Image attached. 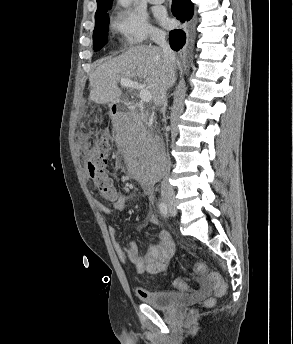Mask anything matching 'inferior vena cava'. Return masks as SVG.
Here are the masks:
<instances>
[{"mask_svg": "<svg viewBox=\"0 0 293 344\" xmlns=\"http://www.w3.org/2000/svg\"><path fill=\"white\" fill-rule=\"evenodd\" d=\"M152 40L160 47L162 51V57H163V64H164V73L166 77V87L165 90L161 94V99L158 105L162 106V112L165 113L166 107H167V86L169 84V81L174 73L173 71V65L175 62V55L170 48L169 44L166 41V34L164 32H155L152 34ZM161 150L164 149V145L161 142L160 143ZM169 177V161H167L163 179L161 182V196L163 198H174V190L172 186L169 184L168 181Z\"/></svg>", "mask_w": 293, "mask_h": 344, "instance_id": "inferior-vena-cava-1", "label": "inferior vena cava"}]
</instances>
